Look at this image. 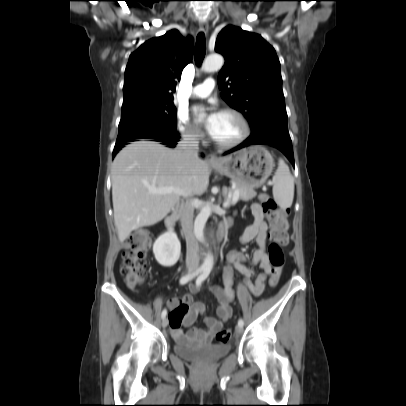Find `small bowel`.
Returning <instances> with one entry per match:
<instances>
[{
    "label": "small bowel",
    "instance_id": "obj_1",
    "mask_svg": "<svg viewBox=\"0 0 406 406\" xmlns=\"http://www.w3.org/2000/svg\"><path fill=\"white\" fill-rule=\"evenodd\" d=\"M250 212L254 220L241 235L240 241L248 243L255 240L257 250L252 257H248L246 254L235 250L227 253L221 285L212 287L219 303L217 309L218 317L206 318L208 328L202 330L192 327L187 334H184L182 330V327L191 326L197 314L203 313L205 310L204 304L193 301V293L197 291V288L190 287L189 292L182 297H172L169 299L168 305L173 311L177 309L186 311V314L180 318V323L177 327H173L170 321V328L177 340L181 342H186L189 339L198 341L211 340L215 333L222 328L223 324L232 317L233 308L231 301L234 297V291L232 289L231 266H234L243 275L245 286L254 296L262 294L272 269L266 252L268 226L264 220V212L260 205L253 204ZM227 222H230V220ZM251 266L259 267L261 272L256 273ZM252 278H254L253 282Z\"/></svg>",
    "mask_w": 406,
    "mask_h": 406
}]
</instances>
